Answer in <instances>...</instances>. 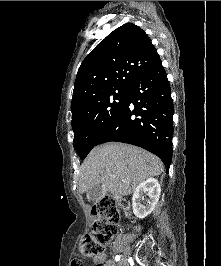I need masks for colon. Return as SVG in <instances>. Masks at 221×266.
I'll use <instances>...</instances> for the list:
<instances>
[{
  "label": "colon",
  "mask_w": 221,
  "mask_h": 266,
  "mask_svg": "<svg viewBox=\"0 0 221 266\" xmlns=\"http://www.w3.org/2000/svg\"><path fill=\"white\" fill-rule=\"evenodd\" d=\"M92 212L95 220L91 231L85 234L79 243V254L84 258L99 256L104 246L114 237L118 230V205L113 199L103 198L93 207ZM97 266L103 265L97 264Z\"/></svg>",
  "instance_id": "obj_1"
}]
</instances>
